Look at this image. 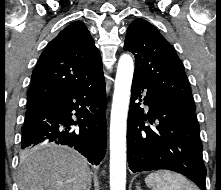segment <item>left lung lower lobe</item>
<instances>
[{
  "instance_id": "left-lung-lower-lobe-1",
  "label": "left lung lower lobe",
  "mask_w": 221,
  "mask_h": 190,
  "mask_svg": "<svg viewBox=\"0 0 221 190\" xmlns=\"http://www.w3.org/2000/svg\"><path fill=\"white\" fill-rule=\"evenodd\" d=\"M145 89L144 113L135 103ZM150 125H145V121ZM129 168L135 172L167 169L192 180L206 190V168L202 158L199 123L195 111L180 107L159 90L133 77L127 123Z\"/></svg>"
}]
</instances>
